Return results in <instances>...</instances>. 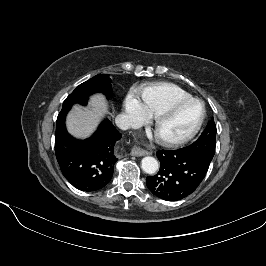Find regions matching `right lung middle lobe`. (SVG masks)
<instances>
[{
    "mask_svg": "<svg viewBox=\"0 0 266 266\" xmlns=\"http://www.w3.org/2000/svg\"><path fill=\"white\" fill-rule=\"evenodd\" d=\"M103 93L107 98L112 96L111 79L103 74L94 76L75 88L63 102L64 107H71L75 103L86 105L93 93Z\"/></svg>",
    "mask_w": 266,
    "mask_h": 266,
    "instance_id": "obj_1",
    "label": "right lung middle lobe"
}]
</instances>
